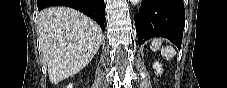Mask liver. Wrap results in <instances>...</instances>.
<instances>
[{"mask_svg": "<svg viewBox=\"0 0 227 88\" xmlns=\"http://www.w3.org/2000/svg\"><path fill=\"white\" fill-rule=\"evenodd\" d=\"M39 41L53 84L77 74L96 55L102 42L99 25L69 7H48L38 15Z\"/></svg>", "mask_w": 227, "mask_h": 88, "instance_id": "liver-1", "label": "liver"}]
</instances>
